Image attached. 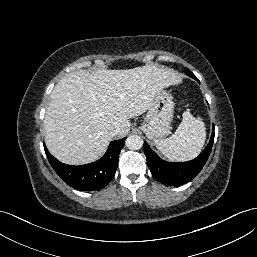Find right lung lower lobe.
Segmentation results:
<instances>
[{
    "mask_svg": "<svg viewBox=\"0 0 257 257\" xmlns=\"http://www.w3.org/2000/svg\"><path fill=\"white\" fill-rule=\"evenodd\" d=\"M125 139L112 141L101 159L81 166L63 164L49 153L45 144L44 149L52 168L66 184L77 190L94 191L106 187L115 175Z\"/></svg>",
    "mask_w": 257,
    "mask_h": 257,
    "instance_id": "98d812e1",
    "label": "right lung lower lobe"
}]
</instances>
